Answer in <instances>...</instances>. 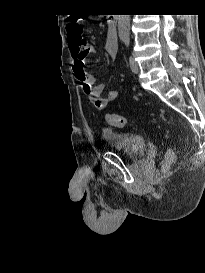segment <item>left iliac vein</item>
<instances>
[{
    "mask_svg": "<svg viewBox=\"0 0 205 273\" xmlns=\"http://www.w3.org/2000/svg\"><path fill=\"white\" fill-rule=\"evenodd\" d=\"M129 62H130V68H131L132 72L135 74H138L139 67H138L137 62L134 60V58L132 56H130Z\"/></svg>",
    "mask_w": 205,
    "mask_h": 273,
    "instance_id": "obj_1",
    "label": "left iliac vein"
}]
</instances>
